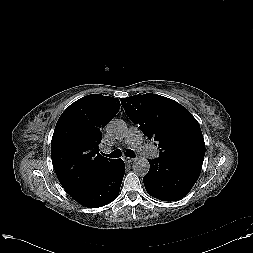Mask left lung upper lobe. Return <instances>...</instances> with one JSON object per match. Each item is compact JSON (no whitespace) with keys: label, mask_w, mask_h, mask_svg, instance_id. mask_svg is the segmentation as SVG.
<instances>
[{"label":"left lung upper lobe","mask_w":253,"mask_h":253,"mask_svg":"<svg viewBox=\"0 0 253 253\" xmlns=\"http://www.w3.org/2000/svg\"><path fill=\"white\" fill-rule=\"evenodd\" d=\"M127 116L160 150V157L204 160L205 143L197 120L178 102L147 93L121 98Z\"/></svg>","instance_id":"5c2ea615"}]
</instances>
